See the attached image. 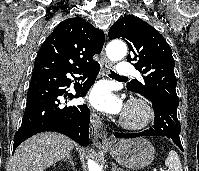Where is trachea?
Returning <instances> with one entry per match:
<instances>
[{"label": "trachea", "mask_w": 199, "mask_h": 171, "mask_svg": "<svg viewBox=\"0 0 199 171\" xmlns=\"http://www.w3.org/2000/svg\"><path fill=\"white\" fill-rule=\"evenodd\" d=\"M110 76H114V77H121V78H125L123 76L118 75L117 73H115L114 71H110Z\"/></svg>", "instance_id": "1"}]
</instances>
